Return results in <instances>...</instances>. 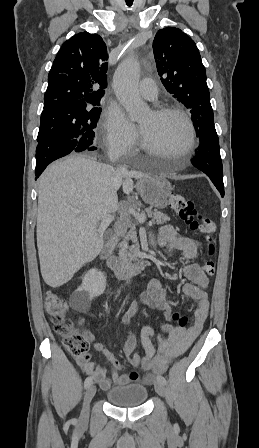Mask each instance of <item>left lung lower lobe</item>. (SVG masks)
Instances as JSON below:
<instances>
[{
	"instance_id": "left-lung-lower-lobe-1",
	"label": "left lung lower lobe",
	"mask_w": 259,
	"mask_h": 448,
	"mask_svg": "<svg viewBox=\"0 0 259 448\" xmlns=\"http://www.w3.org/2000/svg\"><path fill=\"white\" fill-rule=\"evenodd\" d=\"M192 164L211 179L223 197V170L218 136L200 140V145L196 151V156L192 160Z\"/></svg>"
}]
</instances>
